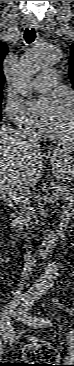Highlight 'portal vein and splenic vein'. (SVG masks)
Segmentation results:
<instances>
[{
    "label": "portal vein and splenic vein",
    "mask_w": 74,
    "mask_h": 366,
    "mask_svg": "<svg viewBox=\"0 0 74 366\" xmlns=\"http://www.w3.org/2000/svg\"><path fill=\"white\" fill-rule=\"evenodd\" d=\"M9 196H11V198H13L14 200H18L19 198H16L15 196L12 195V193H8ZM44 199H48L49 201L51 202H56V200L58 199V196H50V197H47V196H44L43 197Z\"/></svg>",
    "instance_id": "1"
}]
</instances>
